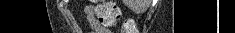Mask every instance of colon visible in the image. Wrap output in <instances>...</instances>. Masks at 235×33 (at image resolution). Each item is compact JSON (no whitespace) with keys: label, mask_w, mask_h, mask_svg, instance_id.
<instances>
[{"label":"colon","mask_w":235,"mask_h":33,"mask_svg":"<svg viewBox=\"0 0 235 33\" xmlns=\"http://www.w3.org/2000/svg\"><path fill=\"white\" fill-rule=\"evenodd\" d=\"M96 14L101 24L111 27L116 24L120 17V10L112 1H102L96 7ZM123 32L137 33L135 24L132 20H126L123 24Z\"/></svg>","instance_id":"obj_1"}]
</instances>
